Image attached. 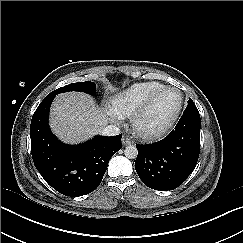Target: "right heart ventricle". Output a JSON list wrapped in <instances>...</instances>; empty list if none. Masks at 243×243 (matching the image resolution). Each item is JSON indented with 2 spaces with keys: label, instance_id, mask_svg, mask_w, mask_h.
<instances>
[{
  "label": "right heart ventricle",
  "instance_id": "obj_1",
  "mask_svg": "<svg viewBox=\"0 0 243 243\" xmlns=\"http://www.w3.org/2000/svg\"><path fill=\"white\" fill-rule=\"evenodd\" d=\"M164 86L158 81H144L130 85L112 97L113 112L120 117L131 116L154 92Z\"/></svg>",
  "mask_w": 243,
  "mask_h": 243
}]
</instances>
